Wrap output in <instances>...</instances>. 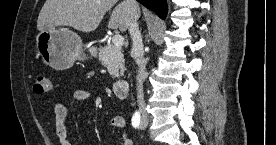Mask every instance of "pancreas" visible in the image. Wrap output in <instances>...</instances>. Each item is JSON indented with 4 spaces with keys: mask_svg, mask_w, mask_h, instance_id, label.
Listing matches in <instances>:
<instances>
[{
    "mask_svg": "<svg viewBox=\"0 0 276 145\" xmlns=\"http://www.w3.org/2000/svg\"><path fill=\"white\" fill-rule=\"evenodd\" d=\"M99 61L107 68L113 78H119L124 71V55L121 47L107 45L99 48Z\"/></svg>",
    "mask_w": 276,
    "mask_h": 145,
    "instance_id": "obj_1",
    "label": "pancreas"
}]
</instances>
